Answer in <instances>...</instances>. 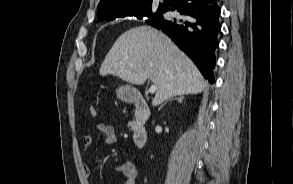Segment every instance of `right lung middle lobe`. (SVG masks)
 Here are the masks:
<instances>
[{"mask_svg":"<svg viewBox=\"0 0 293 184\" xmlns=\"http://www.w3.org/2000/svg\"><path fill=\"white\" fill-rule=\"evenodd\" d=\"M164 10L158 9L156 13H152V10L142 11L140 13L135 14V17L138 19H143L145 17H148L149 19L147 21H155L157 19H161L163 16Z\"/></svg>","mask_w":293,"mask_h":184,"instance_id":"dd1d6c3e","label":"right lung middle lobe"}]
</instances>
